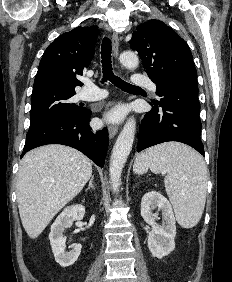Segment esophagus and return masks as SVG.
Returning a JSON list of instances; mask_svg holds the SVG:
<instances>
[{
    "mask_svg": "<svg viewBox=\"0 0 232 282\" xmlns=\"http://www.w3.org/2000/svg\"><path fill=\"white\" fill-rule=\"evenodd\" d=\"M112 48L115 57H117L119 53V35L116 32H113L112 34ZM117 132L118 127L116 125H110L108 127V133L110 138H113L117 134Z\"/></svg>",
    "mask_w": 232,
    "mask_h": 282,
    "instance_id": "esophagus-1",
    "label": "esophagus"
}]
</instances>
